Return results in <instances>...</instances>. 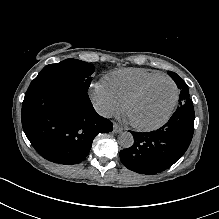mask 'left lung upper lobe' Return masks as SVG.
<instances>
[{
  "mask_svg": "<svg viewBox=\"0 0 219 219\" xmlns=\"http://www.w3.org/2000/svg\"><path fill=\"white\" fill-rule=\"evenodd\" d=\"M168 75L175 81L177 87L181 90L179 95L178 108H180L181 106H193L187 84L174 72H168Z\"/></svg>",
  "mask_w": 219,
  "mask_h": 219,
  "instance_id": "left-lung-upper-lobe-1",
  "label": "left lung upper lobe"
}]
</instances>
